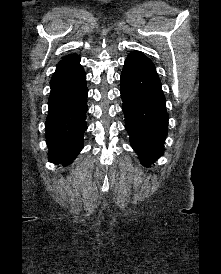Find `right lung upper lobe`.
Instances as JSON below:
<instances>
[{
	"label": "right lung upper lobe",
	"instance_id": "right-lung-upper-lobe-1",
	"mask_svg": "<svg viewBox=\"0 0 221 274\" xmlns=\"http://www.w3.org/2000/svg\"><path fill=\"white\" fill-rule=\"evenodd\" d=\"M78 58L79 56H77L76 54H69L58 63L57 67L72 62Z\"/></svg>",
	"mask_w": 221,
	"mask_h": 274
}]
</instances>
